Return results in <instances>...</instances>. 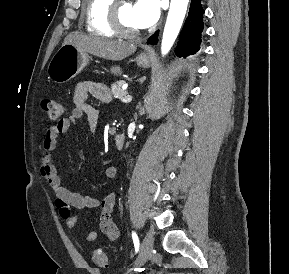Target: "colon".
<instances>
[{
	"mask_svg": "<svg viewBox=\"0 0 289 274\" xmlns=\"http://www.w3.org/2000/svg\"><path fill=\"white\" fill-rule=\"evenodd\" d=\"M41 106L51 119H58L65 112V106L59 100L44 99L41 102ZM92 260L100 268H105L108 265L106 254L99 249L93 251Z\"/></svg>",
	"mask_w": 289,
	"mask_h": 274,
	"instance_id": "colon-1",
	"label": "colon"
}]
</instances>
